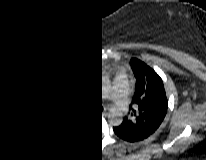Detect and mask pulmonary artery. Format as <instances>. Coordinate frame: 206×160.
Here are the masks:
<instances>
[{"label": "pulmonary artery", "mask_w": 206, "mask_h": 160, "mask_svg": "<svg viewBox=\"0 0 206 160\" xmlns=\"http://www.w3.org/2000/svg\"><path fill=\"white\" fill-rule=\"evenodd\" d=\"M128 94V80L124 75L119 74L113 82L111 98L116 102L118 106L124 107L127 104Z\"/></svg>", "instance_id": "e3ab8cb5"}]
</instances>
